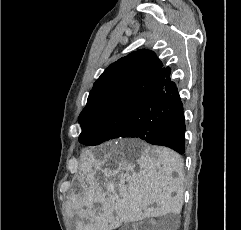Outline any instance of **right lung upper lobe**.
I'll use <instances>...</instances> for the list:
<instances>
[{
	"label": "right lung upper lobe",
	"instance_id": "obj_1",
	"mask_svg": "<svg viewBox=\"0 0 241 230\" xmlns=\"http://www.w3.org/2000/svg\"><path fill=\"white\" fill-rule=\"evenodd\" d=\"M167 70L156 54L146 49L119 59L94 83L79 122L96 121L114 110L152 103L161 91Z\"/></svg>",
	"mask_w": 241,
	"mask_h": 230
}]
</instances>
